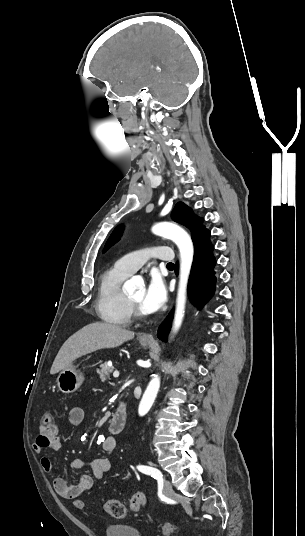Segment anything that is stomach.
<instances>
[{
    "label": "stomach",
    "instance_id": "stomach-1",
    "mask_svg": "<svg viewBox=\"0 0 305 536\" xmlns=\"http://www.w3.org/2000/svg\"><path fill=\"white\" fill-rule=\"evenodd\" d=\"M140 344L146 346L148 342H142L141 340ZM56 382L60 392H63V394H72V392H76L81 384H83L84 376L80 370H76V366L70 364V366H67L65 370L60 372Z\"/></svg>",
    "mask_w": 305,
    "mask_h": 536
}]
</instances>
